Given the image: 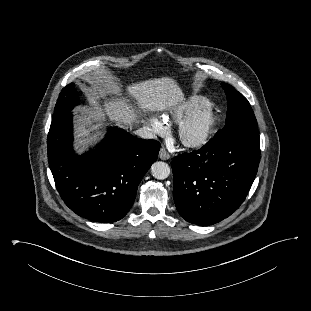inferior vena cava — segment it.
<instances>
[{"instance_id": "1", "label": "inferior vena cava", "mask_w": 311, "mask_h": 311, "mask_svg": "<svg viewBox=\"0 0 311 311\" xmlns=\"http://www.w3.org/2000/svg\"><path fill=\"white\" fill-rule=\"evenodd\" d=\"M135 134L140 136L143 139H154L156 135L152 132L149 127H142L135 131Z\"/></svg>"}]
</instances>
